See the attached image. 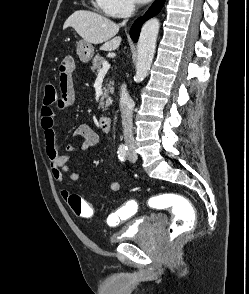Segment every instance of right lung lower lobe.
Here are the masks:
<instances>
[{
	"instance_id": "right-lung-lower-lobe-1",
	"label": "right lung lower lobe",
	"mask_w": 249,
	"mask_h": 294,
	"mask_svg": "<svg viewBox=\"0 0 249 294\" xmlns=\"http://www.w3.org/2000/svg\"><path fill=\"white\" fill-rule=\"evenodd\" d=\"M165 3V0H155L152 6L148 9V11L145 13V15L141 18H138L134 24L132 25L130 29V36L133 41L137 42L139 34H140V29L145 20H147L150 17L155 16L160 12L162 9L163 5Z\"/></svg>"
}]
</instances>
